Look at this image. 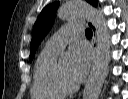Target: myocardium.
Wrapping results in <instances>:
<instances>
[{"label": "myocardium", "mask_w": 128, "mask_h": 99, "mask_svg": "<svg viewBox=\"0 0 128 99\" xmlns=\"http://www.w3.org/2000/svg\"><path fill=\"white\" fill-rule=\"evenodd\" d=\"M54 82L56 86L64 93L70 94L78 89V84L69 85L65 82L60 70V64H56L54 69Z\"/></svg>", "instance_id": "myocardium-1"}]
</instances>
